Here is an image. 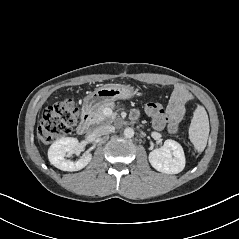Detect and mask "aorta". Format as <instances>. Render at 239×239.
I'll list each match as a JSON object with an SVG mask.
<instances>
[{"label":"aorta","instance_id":"762f6f07","mask_svg":"<svg viewBox=\"0 0 239 239\" xmlns=\"http://www.w3.org/2000/svg\"><path fill=\"white\" fill-rule=\"evenodd\" d=\"M124 136H125L126 138H132V137L134 136V130H133V128H131V127L125 128V130H124Z\"/></svg>","mask_w":239,"mask_h":239}]
</instances>
